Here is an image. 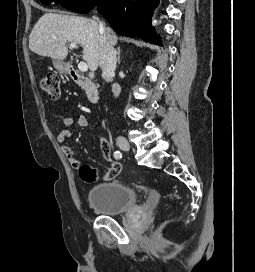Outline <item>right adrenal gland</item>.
<instances>
[{
    "label": "right adrenal gland",
    "mask_w": 255,
    "mask_h": 272,
    "mask_svg": "<svg viewBox=\"0 0 255 272\" xmlns=\"http://www.w3.org/2000/svg\"><path fill=\"white\" fill-rule=\"evenodd\" d=\"M117 55H118V64H120V47L117 48Z\"/></svg>",
    "instance_id": "obj_1"
}]
</instances>
